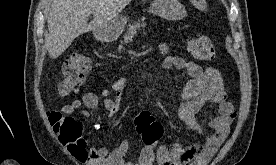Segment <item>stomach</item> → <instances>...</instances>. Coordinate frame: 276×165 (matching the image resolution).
I'll return each mask as SVG.
<instances>
[{
	"instance_id": "obj_1",
	"label": "stomach",
	"mask_w": 276,
	"mask_h": 165,
	"mask_svg": "<svg viewBox=\"0 0 276 165\" xmlns=\"http://www.w3.org/2000/svg\"><path fill=\"white\" fill-rule=\"evenodd\" d=\"M149 12L167 20H181L186 16L185 7L178 0H154ZM127 23L125 16L119 15L94 31L95 37L102 42L117 39Z\"/></svg>"
}]
</instances>
